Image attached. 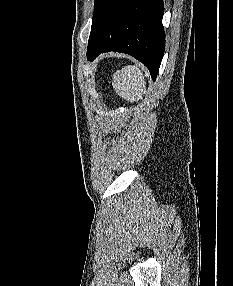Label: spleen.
<instances>
[{
	"instance_id": "1",
	"label": "spleen",
	"mask_w": 233,
	"mask_h": 286,
	"mask_svg": "<svg viewBox=\"0 0 233 286\" xmlns=\"http://www.w3.org/2000/svg\"><path fill=\"white\" fill-rule=\"evenodd\" d=\"M140 64L127 65L113 74L115 92L128 102H138L146 94V82Z\"/></svg>"
}]
</instances>
